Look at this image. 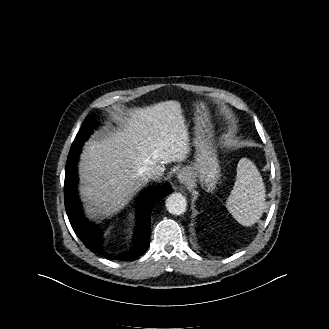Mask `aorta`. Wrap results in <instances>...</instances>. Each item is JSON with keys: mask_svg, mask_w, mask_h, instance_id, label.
I'll list each match as a JSON object with an SVG mask.
<instances>
[{"mask_svg": "<svg viewBox=\"0 0 329 329\" xmlns=\"http://www.w3.org/2000/svg\"><path fill=\"white\" fill-rule=\"evenodd\" d=\"M187 202L181 193H172L166 199V208L173 215L185 213Z\"/></svg>", "mask_w": 329, "mask_h": 329, "instance_id": "1", "label": "aorta"}]
</instances>
